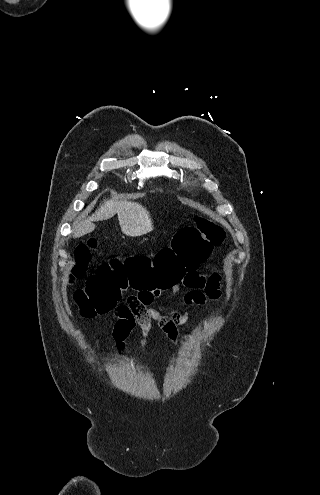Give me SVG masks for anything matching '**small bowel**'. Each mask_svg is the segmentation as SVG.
<instances>
[{
	"label": "small bowel",
	"mask_w": 320,
	"mask_h": 495,
	"mask_svg": "<svg viewBox=\"0 0 320 495\" xmlns=\"http://www.w3.org/2000/svg\"><path fill=\"white\" fill-rule=\"evenodd\" d=\"M220 276L216 273L205 277L196 271L187 272L181 281L169 287L171 293L177 296L180 287H187L189 290L183 295V309L176 311L167 307L154 308L155 299L160 295L154 291H145L143 296L147 298L143 301L138 294L131 296L127 304L118 311H114L116 323L113 327V337L118 343H122L131 331L136 327L141 330V350L147 345V337L151 330L152 321H156L158 326L167 334L171 342H176L183 326L189 325L190 309L194 306H204L208 300L218 296V282Z\"/></svg>",
	"instance_id": "1"
}]
</instances>
